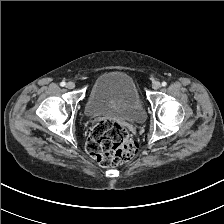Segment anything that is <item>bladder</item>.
<instances>
[{
    "instance_id": "bladder-1",
    "label": "bladder",
    "mask_w": 224,
    "mask_h": 224,
    "mask_svg": "<svg viewBox=\"0 0 224 224\" xmlns=\"http://www.w3.org/2000/svg\"><path fill=\"white\" fill-rule=\"evenodd\" d=\"M84 108L88 116L119 113L137 123L144 122L146 118L134 80L120 71L104 72L96 78Z\"/></svg>"
}]
</instances>
